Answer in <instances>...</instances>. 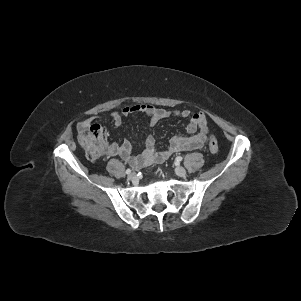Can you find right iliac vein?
Here are the masks:
<instances>
[{"label":"right iliac vein","instance_id":"1","mask_svg":"<svg viewBox=\"0 0 301 301\" xmlns=\"http://www.w3.org/2000/svg\"><path fill=\"white\" fill-rule=\"evenodd\" d=\"M137 178V175L135 172H132L131 174L128 175V179L133 181Z\"/></svg>","mask_w":301,"mask_h":301}]
</instances>
